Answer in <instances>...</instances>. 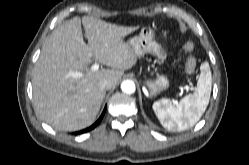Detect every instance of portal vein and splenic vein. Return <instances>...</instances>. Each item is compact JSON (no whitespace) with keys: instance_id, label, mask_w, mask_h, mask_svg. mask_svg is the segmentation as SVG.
Returning <instances> with one entry per match:
<instances>
[{"instance_id":"1","label":"portal vein and splenic vein","mask_w":249,"mask_h":165,"mask_svg":"<svg viewBox=\"0 0 249 165\" xmlns=\"http://www.w3.org/2000/svg\"><path fill=\"white\" fill-rule=\"evenodd\" d=\"M98 69H99V64H98V63H95V64H93V65L91 66V70H92V71H96V70H98ZM72 76L75 77V78L82 77V73H80V72H75V73L72 74Z\"/></svg>"}]
</instances>
